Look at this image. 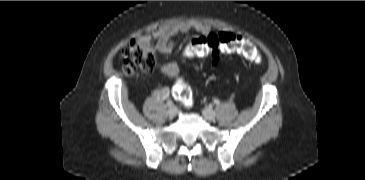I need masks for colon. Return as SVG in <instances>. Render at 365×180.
<instances>
[{
  "mask_svg": "<svg viewBox=\"0 0 365 180\" xmlns=\"http://www.w3.org/2000/svg\"><path fill=\"white\" fill-rule=\"evenodd\" d=\"M210 52L236 53L256 64L261 63L262 60L259 50L252 42L232 33L195 38L185 49V55L189 58L204 57ZM120 57L122 70L129 76L149 73L157 63L155 53L136 40L130 41L122 47ZM173 95L186 107L192 104V93L183 81L175 84Z\"/></svg>",
  "mask_w": 365,
  "mask_h": 180,
  "instance_id": "5ec220e1",
  "label": "colon"
}]
</instances>
